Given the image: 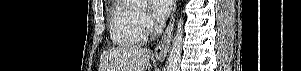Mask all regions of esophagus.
Returning <instances> with one entry per match:
<instances>
[{"instance_id":"obj_1","label":"esophagus","mask_w":301,"mask_h":71,"mask_svg":"<svg viewBox=\"0 0 301 71\" xmlns=\"http://www.w3.org/2000/svg\"><path fill=\"white\" fill-rule=\"evenodd\" d=\"M176 9V0H174V5H173V14L171 16L169 25L167 26L162 39L160 40L159 44L155 48L154 55L157 58H164L167 54V51L169 49V45L171 42V37H172V32H173V26H174V13Z\"/></svg>"}]
</instances>
